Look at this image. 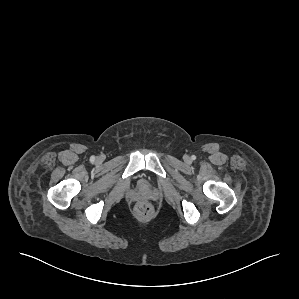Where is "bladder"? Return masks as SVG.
<instances>
[{"mask_svg":"<svg viewBox=\"0 0 299 299\" xmlns=\"http://www.w3.org/2000/svg\"><path fill=\"white\" fill-rule=\"evenodd\" d=\"M142 186H144V187L148 186V182L147 181H142Z\"/></svg>","mask_w":299,"mask_h":299,"instance_id":"bladder-1","label":"bladder"}]
</instances>
